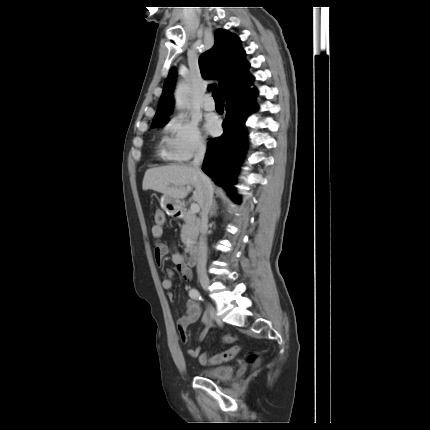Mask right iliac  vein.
<instances>
[{
	"mask_svg": "<svg viewBox=\"0 0 430 430\" xmlns=\"http://www.w3.org/2000/svg\"><path fill=\"white\" fill-rule=\"evenodd\" d=\"M200 283H201V286L203 287V289L207 290V288L209 287V284H210L209 278L206 276L201 277Z\"/></svg>",
	"mask_w": 430,
	"mask_h": 430,
	"instance_id": "right-iliac-vein-1",
	"label": "right iliac vein"
}]
</instances>
